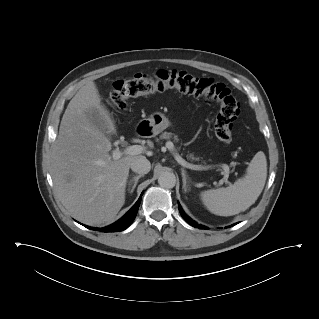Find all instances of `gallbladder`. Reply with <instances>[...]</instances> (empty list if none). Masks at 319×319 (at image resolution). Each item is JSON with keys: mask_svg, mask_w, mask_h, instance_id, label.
<instances>
[{"mask_svg": "<svg viewBox=\"0 0 319 319\" xmlns=\"http://www.w3.org/2000/svg\"><path fill=\"white\" fill-rule=\"evenodd\" d=\"M91 121L93 124L100 129L102 132L106 133L108 132V126L105 120L99 115L98 111L96 109H93L91 113H89Z\"/></svg>", "mask_w": 319, "mask_h": 319, "instance_id": "obj_1", "label": "gallbladder"}]
</instances>
